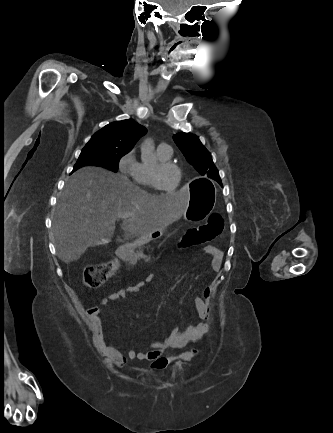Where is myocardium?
I'll list each match as a JSON object with an SVG mask.
<instances>
[{
	"instance_id": "obj_1",
	"label": "myocardium",
	"mask_w": 333,
	"mask_h": 433,
	"mask_svg": "<svg viewBox=\"0 0 333 433\" xmlns=\"http://www.w3.org/2000/svg\"><path fill=\"white\" fill-rule=\"evenodd\" d=\"M168 168L175 169L177 171L178 175L180 176V167L176 163H173L171 161H165V162H159L158 161L151 169V177H152V181H153V183L157 189L163 191L164 193H166L168 195H173L177 192V190L179 188V184H178L179 181L177 182L176 187L172 191L166 190L160 182L161 173L163 172V170L168 169Z\"/></svg>"
}]
</instances>
